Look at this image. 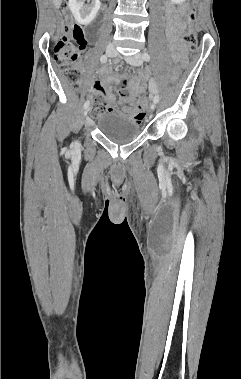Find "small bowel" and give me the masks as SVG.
Returning <instances> with one entry per match:
<instances>
[{
    "label": "small bowel",
    "instance_id": "1",
    "mask_svg": "<svg viewBox=\"0 0 241 379\" xmlns=\"http://www.w3.org/2000/svg\"><path fill=\"white\" fill-rule=\"evenodd\" d=\"M166 15L168 18L167 33L171 42L173 56L178 60L182 56L183 49L175 38L185 29L186 24L182 20L181 13L175 11L171 6H166ZM98 76V80L90 83L92 89L96 93L106 96L110 102H114L115 97L111 92L110 84L114 82L120 85L123 83L124 78L111 76L107 68H101L98 71ZM144 89L143 77L133 78L128 82L127 89L121 88V90L125 91V95H121L120 109L131 118L133 125H142L143 121H146V117L150 115L149 110H141L144 103L141 102L139 93L144 92Z\"/></svg>",
    "mask_w": 241,
    "mask_h": 379
}]
</instances>
